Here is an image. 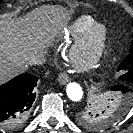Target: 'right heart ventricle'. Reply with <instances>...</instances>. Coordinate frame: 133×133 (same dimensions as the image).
I'll return each mask as SVG.
<instances>
[{
  "instance_id": "right-heart-ventricle-1",
  "label": "right heart ventricle",
  "mask_w": 133,
  "mask_h": 133,
  "mask_svg": "<svg viewBox=\"0 0 133 133\" xmlns=\"http://www.w3.org/2000/svg\"><path fill=\"white\" fill-rule=\"evenodd\" d=\"M94 22L96 21L92 16L80 15L64 28L62 38L65 40H74L79 38Z\"/></svg>"
}]
</instances>
